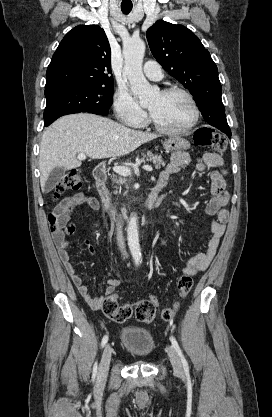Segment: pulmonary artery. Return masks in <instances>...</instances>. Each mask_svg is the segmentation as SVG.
<instances>
[{
  "label": "pulmonary artery",
  "mask_w": 272,
  "mask_h": 417,
  "mask_svg": "<svg viewBox=\"0 0 272 417\" xmlns=\"http://www.w3.org/2000/svg\"><path fill=\"white\" fill-rule=\"evenodd\" d=\"M143 72L152 81H160L163 78L161 66L155 61H147L144 65Z\"/></svg>",
  "instance_id": "e3ab8cb5"
}]
</instances>
